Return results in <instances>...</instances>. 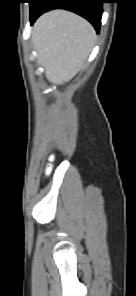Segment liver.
Masks as SVG:
<instances>
[{
  "label": "liver",
  "mask_w": 136,
  "mask_h": 296,
  "mask_svg": "<svg viewBox=\"0 0 136 296\" xmlns=\"http://www.w3.org/2000/svg\"><path fill=\"white\" fill-rule=\"evenodd\" d=\"M95 38L92 25L72 12L41 15L33 26L32 42L47 80L58 85L70 81L84 66Z\"/></svg>",
  "instance_id": "liver-1"
}]
</instances>
